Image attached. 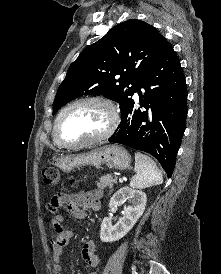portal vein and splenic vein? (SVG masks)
<instances>
[{
  "label": "portal vein and splenic vein",
  "instance_id": "1",
  "mask_svg": "<svg viewBox=\"0 0 221 274\" xmlns=\"http://www.w3.org/2000/svg\"><path fill=\"white\" fill-rule=\"evenodd\" d=\"M119 181H120V182H123V179H122V178H119Z\"/></svg>",
  "mask_w": 221,
  "mask_h": 274
}]
</instances>
